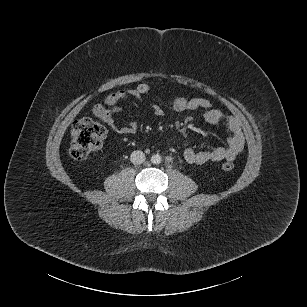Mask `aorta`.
<instances>
[{
    "label": "aorta",
    "mask_w": 307,
    "mask_h": 307,
    "mask_svg": "<svg viewBox=\"0 0 307 307\" xmlns=\"http://www.w3.org/2000/svg\"><path fill=\"white\" fill-rule=\"evenodd\" d=\"M150 160H151L152 164L157 165V164L161 163L162 157L159 154H154V155L151 156Z\"/></svg>",
    "instance_id": "obj_1"
}]
</instances>
